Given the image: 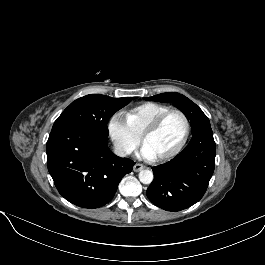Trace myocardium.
I'll return each mask as SVG.
<instances>
[{
  "instance_id": "obj_1",
  "label": "myocardium",
  "mask_w": 265,
  "mask_h": 265,
  "mask_svg": "<svg viewBox=\"0 0 265 265\" xmlns=\"http://www.w3.org/2000/svg\"><path fill=\"white\" fill-rule=\"evenodd\" d=\"M172 114H178V115H180L183 118L184 123H185L184 136H183L181 142L179 143V145L176 148H174L173 150H171V151H169L167 153L161 154V155L153 156L152 158L154 160H156V161L167 160V159H170V158L178 155L183 150V148L185 147V145H186V143H187V141L189 139L190 131H191V124H190V120H189L188 116L183 111H181L179 109H169V110L165 111L164 113H162L161 115H159L157 118H155L148 125V127L143 131V133L141 134V142H142V144L144 145L146 139L150 135L154 134L159 129V127L161 126L163 121L169 115H172Z\"/></svg>"
}]
</instances>
